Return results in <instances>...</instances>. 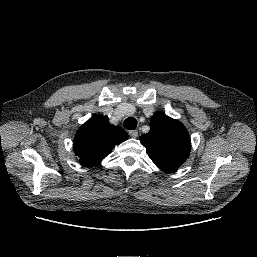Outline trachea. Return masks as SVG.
I'll return each mask as SVG.
<instances>
[{
    "mask_svg": "<svg viewBox=\"0 0 257 257\" xmlns=\"http://www.w3.org/2000/svg\"><path fill=\"white\" fill-rule=\"evenodd\" d=\"M124 128L134 130L137 127V120L134 117H128L123 123Z\"/></svg>",
    "mask_w": 257,
    "mask_h": 257,
    "instance_id": "3493384b",
    "label": "trachea"
}]
</instances>
